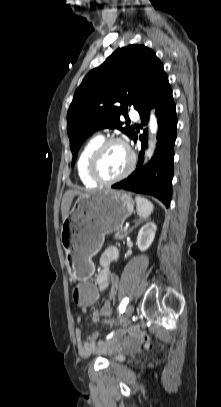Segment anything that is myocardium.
Masks as SVG:
<instances>
[{
    "mask_svg": "<svg viewBox=\"0 0 221 407\" xmlns=\"http://www.w3.org/2000/svg\"><path fill=\"white\" fill-rule=\"evenodd\" d=\"M113 144H120V145L124 146L126 148V150L128 151L130 160H129L128 167L120 175L113 177V178L106 179V178H103L98 172V162H99L101 155L104 153V151ZM135 165H136V157H135V154L133 153L132 149L130 148V146L123 139L117 138V137H112V138L103 140L92 152V154L90 155V157L88 159V163H87V173H88L89 177L95 183L100 184V185H110V184H114V183L119 182V181L125 179L126 177H128L133 172Z\"/></svg>",
    "mask_w": 221,
    "mask_h": 407,
    "instance_id": "obj_1",
    "label": "myocardium"
}]
</instances>
